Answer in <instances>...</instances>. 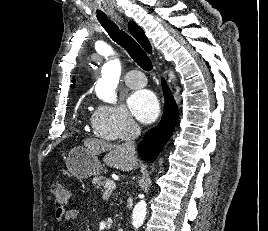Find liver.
<instances>
[{"label": "liver", "instance_id": "obj_1", "mask_svg": "<svg viewBox=\"0 0 268 231\" xmlns=\"http://www.w3.org/2000/svg\"><path fill=\"white\" fill-rule=\"evenodd\" d=\"M84 146L95 155L107 152L103 161L110 167L122 171H129L136 168L137 160L134 161L129 158L123 144H111L103 140L89 138L84 140Z\"/></svg>", "mask_w": 268, "mask_h": 231}]
</instances>
